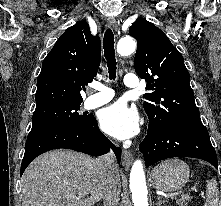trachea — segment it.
I'll return each mask as SVG.
<instances>
[{"label": "trachea", "instance_id": "trachea-1", "mask_svg": "<svg viewBox=\"0 0 221 206\" xmlns=\"http://www.w3.org/2000/svg\"><path fill=\"white\" fill-rule=\"evenodd\" d=\"M103 48H104V55H105L107 66H108L109 79L115 80L117 62H116L115 49H114V34L111 29H107L104 34Z\"/></svg>", "mask_w": 221, "mask_h": 206}]
</instances>
